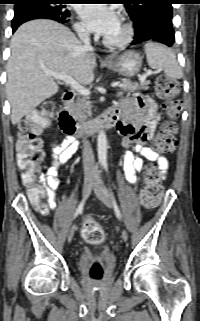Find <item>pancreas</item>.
<instances>
[{"mask_svg": "<svg viewBox=\"0 0 200 321\" xmlns=\"http://www.w3.org/2000/svg\"><path fill=\"white\" fill-rule=\"evenodd\" d=\"M149 85L150 81L136 83L129 79H121L119 87L124 91L134 92L136 90H148ZM69 111L79 122H84L91 115V102L89 98L79 97L76 103L69 108Z\"/></svg>", "mask_w": 200, "mask_h": 321, "instance_id": "1", "label": "pancreas"}]
</instances>
